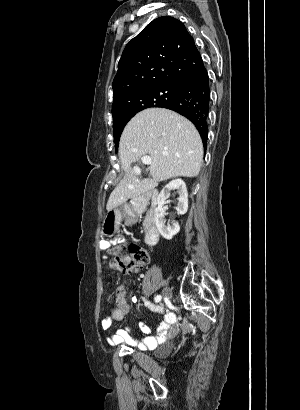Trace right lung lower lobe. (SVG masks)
Returning a JSON list of instances; mask_svg holds the SVG:
<instances>
[{
	"mask_svg": "<svg viewBox=\"0 0 300 410\" xmlns=\"http://www.w3.org/2000/svg\"><path fill=\"white\" fill-rule=\"evenodd\" d=\"M210 105V84L203 62L183 82L173 99L161 107L168 108L188 118L197 128L205 146L207 143V118Z\"/></svg>",
	"mask_w": 300,
	"mask_h": 410,
	"instance_id": "obj_1",
	"label": "right lung lower lobe"
}]
</instances>
